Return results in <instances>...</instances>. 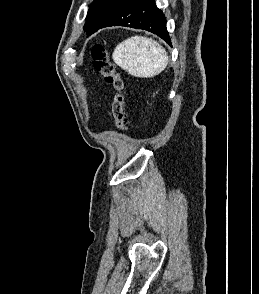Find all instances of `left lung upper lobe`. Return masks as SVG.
I'll use <instances>...</instances> for the list:
<instances>
[{"mask_svg": "<svg viewBox=\"0 0 259 294\" xmlns=\"http://www.w3.org/2000/svg\"><path fill=\"white\" fill-rule=\"evenodd\" d=\"M126 1L127 0H94L89 6L86 23L84 25L85 31H88L89 35L96 32L114 8Z\"/></svg>", "mask_w": 259, "mask_h": 294, "instance_id": "left-lung-upper-lobe-1", "label": "left lung upper lobe"}]
</instances>
